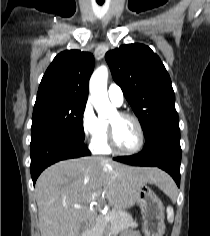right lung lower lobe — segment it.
<instances>
[{
  "label": "right lung lower lobe",
  "mask_w": 210,
  "mask_h": 236,
  "mask_svg": "<svg viewBox=\"0 0 210 236\" xmlns=\"http://www.w3.org/2000/svg\"><path fill=\"white\" fill-rule=\"evenodd\" d=\"M30 153L33 184L40 173L51 164L91 154L83 140L63 133H44L31 137Z\"/></svg>",
  "instance_id": "right-lung-lower-lobe-1"
}]
</instances>
